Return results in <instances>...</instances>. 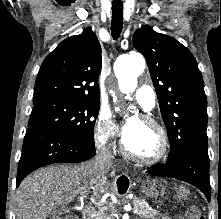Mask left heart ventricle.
<instances>
[{
    "mask_svg": "<svg viewBox=\"0 0 221 219\" xmlns=\"http://www.w3.org/2000/svg\"><path fill=\"white\" fill-rule=\"evenodd\" d=\"M130 123L132 124V130L124 139L128 150L142 157L154 156L160 146V139L156 129L140 120H134Z\"/></svg>",
    "mask_w": 221,
    "mask_h": 219,
    "instance_id": "obj_1",
    "label": "left heart ventricle"
}]
</instances>
